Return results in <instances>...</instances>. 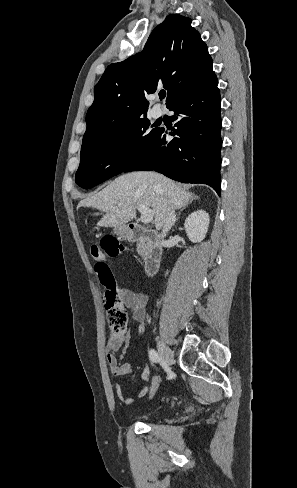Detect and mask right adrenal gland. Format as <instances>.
<instances>
[{"mask_svg":"<svg viewBox=\"0 0 297 488\" xmlns=\"http://www.w3.org/2000/svg\"><path fill=\"white\" fill-rule=\"evenodd\" d=\"M198 199H199V197H198V196H195V195H194V196H192V197H191V199H190V201H189L188 203L184 204V205H183V207L181 208V210L179 211L178 216H177V220L179 219L181 212H182V211H183L185 208H187V207H188V205H189V204H191L193 200H198Z\"/></svg>","mask_w":297,"mask_h":488,"instance_id":"obj_1","label":"right adrenal gland"}]
</instances>
